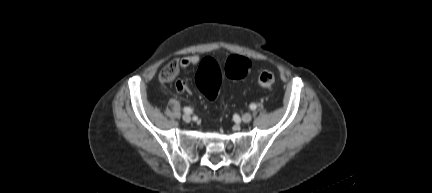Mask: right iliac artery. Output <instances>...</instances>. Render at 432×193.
Wrapping results in <instances>:
<instances>
[{"label":"right iliac artery","mask_w":432,"mask_h":193,"mask_svg":"<svg viewBox=\"0 0 432 193\" xmlns=\"http://www.w3.org/2000/svg\"><path fill=\"white\" fill-rule=\"evenodd\" d=\"M183 111H184L185 113H187V114H191V113H192V109L189 108V107H185V108L183 109Z\"/></svg>","instance_id":"right-iliac-artery-1"}]
</instances>
